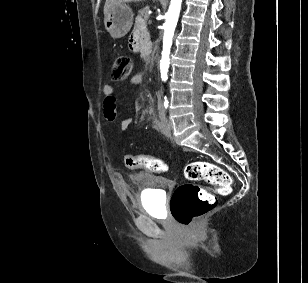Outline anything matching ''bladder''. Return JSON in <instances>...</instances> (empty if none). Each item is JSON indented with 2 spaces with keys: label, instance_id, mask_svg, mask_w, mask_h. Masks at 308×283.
Segmentation results:
<instances>
[{
  "label": "bladder",
  "instance_id": "1",
  "mask_svg": "<svg viewBox=\"0 0 308 283\" xmlns=\"http://www.w3.org/2000/svg\"><path fill=\"white\" fill-rule=\"evenodd\" d=\"M141 211L153 218H163L165 213V198L159 188L146 187L140 192Z\"/></svg>",
  "mask_w": 308,
  "mask_h": 283
}]
</instances>
